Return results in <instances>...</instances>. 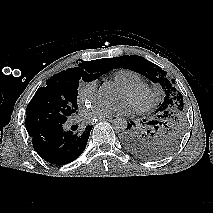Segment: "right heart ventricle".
<instances>
[{"mask_svg": "<svg viewBox=\"0 0 213 213\" xmlns=\"http://www.w3.org/2000/svg\"><path fill=\"white\" fill-rule=\"evenodd\" d=\"M113 79L121 87L142 82L141 75L130 69H119L115 71Z\"/></svg>", "mask_w": 213, "mask_h": 213, "instance_id": "e07e8e85", "label": "right heart ventricle"}]
</instances>
